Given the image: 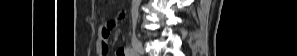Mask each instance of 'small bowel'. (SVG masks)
<instances>
[{
	"label": "small bowel",
	"mask_w": 297,
	"mask_h": 56,
	"mask_svg": "<svg viewBox=\"0 0 297 56\" xmlns=\"http://www.w3.org/2000/svg\"><path fill=\"white\" fill-rule=\"evenodd\" d=\"M115 26V22H110L104 25L100 29L99 37L96 43V52L98 56H107L109 54L108 37L112 28ZM118 56L127 55L125 50L119 49L117 51Z\"/></svg>",
	"instance_id": "1"
}]
</instances>
